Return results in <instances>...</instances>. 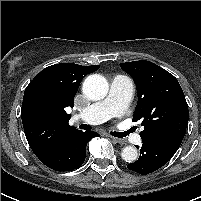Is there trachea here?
<instances>
[{"mask_svg": "<svg viewBox=\"0 0 201 201\" xmlns=\"http://www.w3.org/2000/svg\"><path fill=\"white\" fill-rule=\"evenodd\" d=\"M134 130L133 129H129L128 131L125 132H111V135L118 137V138H123L127 135H129L130 133H132Z\"/></svg>", "mask_w": 201, "mask_h": 201, "instance_id": "3493384b", "label": "trachea"}]
</instances>
